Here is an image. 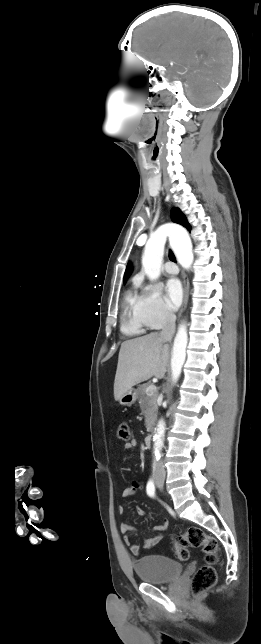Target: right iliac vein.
I'll return each instance as SVG.
<instances>
[{
  "mask_svg": "<svg viewBox=\"0 0 261 644\" xmlns=\"http://www.w3.org/2000/svg\"><path fill=\"white\" fill-rule=\"evenodd\" d=\"M156 482H157L158 485H162L163 484V478L162 477H157Z\"/></svg>",
  "mask_w": 261,
  "mask_h": 644,
  "instance_id": "right-iliac-vein-1",
  "label": "right iliac vein"
}]
</instances>
